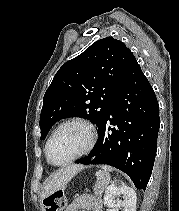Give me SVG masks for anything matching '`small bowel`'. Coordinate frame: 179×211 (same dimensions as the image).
I'll return each instance as SVG.
<instances>
[{
	"label": "small bowel",
	"instance_id": "c3829d8e",
	"mask_svg": "<svg viewBox=\"0 0 179 211\" xmlns=\"http://www.w3.org/2000/svg\"><path fill=\"white\" fill-rule=\"evenodd\" d=\"M65 211H101L100 201L90 194L78 196Z\"/></svg>",
	"mask_w": 179,
	"mask_h": 211
}]
</instances>
